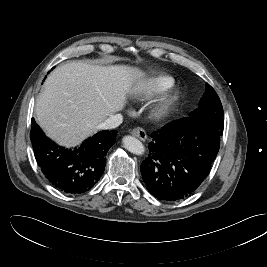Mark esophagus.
<instances>
[{"instance_id":"obj_1","label":"esophagus","mask_w":267,"mask_h":267,"mask_svg":"<svg viewBox=\"0 0 267 267\" xmlns=\"http://www.w3.org/2000/svg\"><path fill=\"white\" fill-rule=\"evenodd\" d=\"M130 134L137 137L138 139H140L141 141H145L147 139V134L146 132L140 128V127H136L134 129H132L130 131Z\"/></svg>"}]
</instances>
